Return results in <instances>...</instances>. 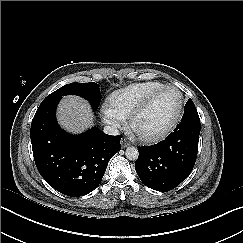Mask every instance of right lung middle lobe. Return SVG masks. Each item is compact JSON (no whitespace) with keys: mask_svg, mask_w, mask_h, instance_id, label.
<instances>
[{"mask_svg":"<svg viewBox=\"0 0 243 243\" xmlns=\"http://www.w3.org/2000/svg\"><path fill=\"white\" fill-rule=\"evenodd\" d=\"M99 87L100 85L94 82L70 83L57 89L48 95L43 101L61 99L65 95H78L88 100L91 103L93 110H96L101 101Z\"/></svg>","mask_w":243,"mask_h":243,"instance_id":"1","label":"right lung middle lobe"}]
</instances>
